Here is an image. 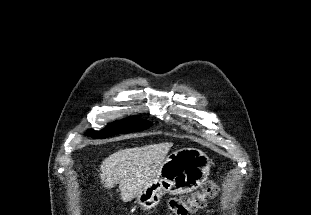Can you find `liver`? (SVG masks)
I'll list each match as a JSON object with an SVG mask.
<instances>
[{
  "instance_id": "1",
  "label": "liver",
  "mask_w": 311,
  "mask_h": 215,
  "mask_svg": "<svg viewBox=\"0 0 311 215\" xmlns=\"http://www.w3.org/2000/svg\"><path fill=\"white\" fill-rule=\"evenodd\" d=\"M172 146L173 143L164 142L111 154L100 165L101 183L106 189L118 184L124 202L137 198L156 177Z\"/></svg>"
}]
</instances>
